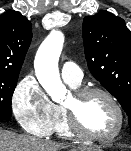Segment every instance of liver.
Listing matches in <instances>:
<instances>
[{
  "mask_svg": "<svg viewBox=\"0 0 131 151\" xmlns=\"http://www.w3.org/2000/svg\"><path fill=\"white\" fill-rule=\"evenodd\" d=\"M69 145L36 139L31 136L17 135L0 129V151H59ZM85 148L73 151H85Z\"/></svg>",
  "mask_w": 131,
  "mask_h": 151,
  "instance_id": "6515ba94",
  "label": "liver"
}]
</instances>
